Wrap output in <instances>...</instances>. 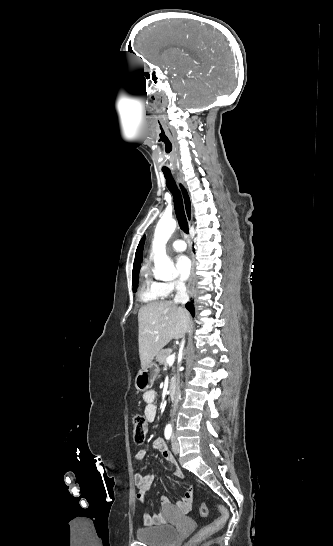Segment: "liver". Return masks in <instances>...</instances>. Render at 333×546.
I'll list each match as a JSON object with an SVG mask.
<instances>
[{
	"label": "liver",
	"mask_w": 333,
	"mask_h": 546,
	"mask_svg": "<svg viewBox=\"0 0 333 546\" xmlns=\"http://www.w3.org/2000/svg\"><path fill=\"white\" fill-rule=\"evenodd\" d=\"M189 322L190 314L173 301L153 302L142 306L138 312L141 368L148 367L171 340L183 338Z\"/></svg>",
	"instance_id": "obj_1"
}]
</instances>
